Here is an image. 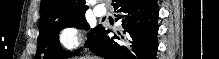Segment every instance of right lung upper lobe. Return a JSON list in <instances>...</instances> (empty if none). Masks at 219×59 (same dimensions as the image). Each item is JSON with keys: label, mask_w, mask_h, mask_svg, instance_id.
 <instances>
[{"label": "right lung upper lobe", "mask_w": 219, "mask_h": 59, "mask_svg": "<svg viewBox=\"0 0 219 59\" xmlns=\"http://www.w3.org/2000/svg\"><path fill=\"white\" fill-rule=\"evenodd\" d=\"M87 9L85 0H42L39 28L52 21L85 14Z\"/></svg>", "instance_id": "right-lung-upper-lobe-1"}]
</instances>
